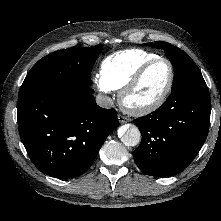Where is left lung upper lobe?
<instances>
[{
    "instance_id": "1",
    "label": "left lung upper lobe",
    "mask_w": 221,
    "mask_h": 221,
    "mask_svg": "<svg viewBox=\"0 0 221 221\" xmlns=\"http://www.w3.org/2000/svg\"><path fill=\"white\" fill-rule=\"evenodd\" d=\"M158 49H163L174 67V82L171 91L184 87L206 86L204 78L194 61L181 49L167 42L146 43Z\"/></svg>"
}]
</instances>
